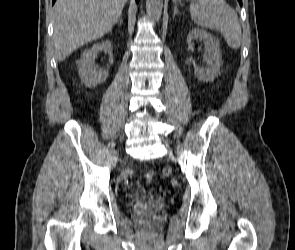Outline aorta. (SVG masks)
I'll list each match as a JSON object with an SVG mask.
<instances>
[{"mask_svg": "<svg viewBox=\"0 0 295 250\" xmlns=\"http://www.w3.org/2000/svg\"><path fill=\"white\" fill-rule=\"evenodd\" d=\"M162 5L163 0H146L147 15L158 20L161 17Z\"/></svg>", "mask_w": 295, "mask_h": 250, "instance_id": "1", "label": "aorta"}]
</instances>
